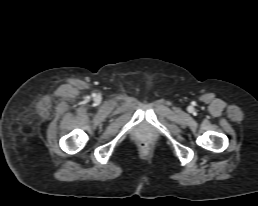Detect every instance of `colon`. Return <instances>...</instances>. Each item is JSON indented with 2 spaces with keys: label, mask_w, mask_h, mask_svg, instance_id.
<instances>
[{
  "label": "colon",
  "mask_w": 258,
  "mask_h": 206,
  "mask_svg": "<svg viewBox=\"0 0 258 206\" xmlns=\"http://www.w3.org/2000/svg\"><path fill=\"white\" fill-rule=\"evenodd\" d=\"M147 147H148L147 143H142V144H141V148H142V149H146Z\"/></svg>",
  "instance_id": "obj_1"
}]
</instances>
